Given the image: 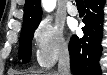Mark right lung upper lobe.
Masks as SVG:
<instances>
[{
  "label": "right lung upper lobe",
  "mask_w": 107,
  "mask_h": 75,
  "mask_svg": "<svg viewBox=\"0 0 107 75\" xmlns=\"http://www.w3.org/2000/svg\"><path fill=\"white\" fill-rule=\"evenodd\" d=\"M41 6L40 0H26L24 6V22L26 23H40L41 21Z\"/></svg>",
  "instance_id": "right-lung-upper-lobe-1"
}]
</instances>
